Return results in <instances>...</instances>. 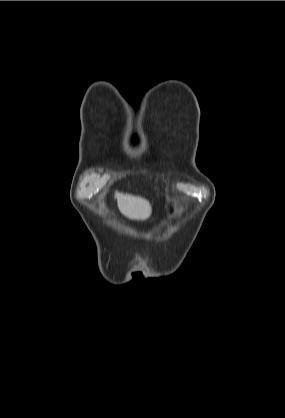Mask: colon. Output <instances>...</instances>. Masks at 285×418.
<instances>
[{"instance_id":"1","label":"colon","mask_w":285,"mask_h":418,"mask_svg":"<svg viewBox=\"0 0 285 418\" xmlns=\"http://www.w3.org/2000/svg\"><path fill=\"white\" fill-rule=\"evenodd\" d=\"M170 211H171L172 213H174V212H175V206H174V205H172V206H171Z\"/></svg>"}]
</instances>
